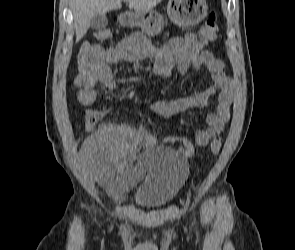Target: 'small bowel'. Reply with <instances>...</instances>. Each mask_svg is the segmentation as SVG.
I'll use <instances>...</instances> for the list:
<instances>
[{
    "instance_id": "c3829d8e",
    "label": "small bowel",
    "mask_w": 295,
    "mask_h": 250,
    "mask_svg": "<svg viewBox=\"0 0 295 250\" xmlns=\"http://www.w3.org/2000/svg\"><path fill=\"white\" fill-rule=\"evenodd\" d=\"M144 59L153 61L152 72L157 76L169 77L174 68L182 74L190 69H206L210 73L211 84L207 90L191 97L157 100L151 104V111L160 118L168 119L206 105L209 97L218 93L216 109L206 117L208 128L196 132L195 142L199 146H207L214 139L221 140L220 134L225 130L231 115V81L224 73L223 62L204 49L203 42L192 33L174 36L160 48L153 47L140 33L126 37L108 49L96 47L90 68L79 67L75 79L80 104L90 106L96 102L97 84L111 90L118 88L109 64L123 60L134 63ZM165 141L178 143L186 156L194 152L193 144L186 138L169 137ZM156 143L157 139L142 126H103L87 138L82 146L83 173L110 193L121 196L144 177L141 165L124 168V161L134 159L141 147H153Z\"/></svg>"
}]
</instances>
